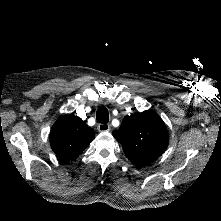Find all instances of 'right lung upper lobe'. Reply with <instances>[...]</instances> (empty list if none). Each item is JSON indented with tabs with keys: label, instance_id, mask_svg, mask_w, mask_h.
<instances>
[{
	"label": "right lung upper lobe",
	"instance_id": "cb5924a9",
	"mask_svg": "<svg viewBox=\"0 0 221 221\" xmlns=\"http://www.w3.org/2000/svg\"><path fill=\"white\" fill-rule=\"evenodd\" d=\"M94 139V131L77 116H61L50 132L52 150L64 163L75 160Z\"/></svg>",
	"mask_w": 221,
	"mask_h": 221
}]
</instances>
